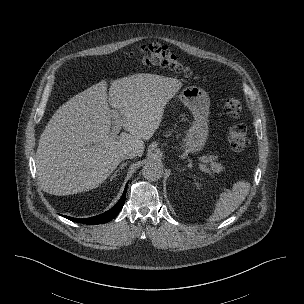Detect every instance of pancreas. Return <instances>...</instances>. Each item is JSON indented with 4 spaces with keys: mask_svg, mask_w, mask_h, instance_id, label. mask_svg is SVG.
Returning <instances> with one entry per match:
<instances>
[{
    "mask_svg": "<svg viewBox=\"0 0 304 304\" xmlns=\"http://www.w3.org/2000/svg\"><path fill=\"white\" fill-rule=\"evenodd\" d=\"M214 159H215L214 156H209V157L206 159V162H213ZM212 166H213L214 168H220V165H218V164H212Z\"/></svg>",
    "mask_w": 304,
    "mask_h": 304,
    "instance_id": "pancreas-1",
    "label": "pancreas"
}]
</instances>
